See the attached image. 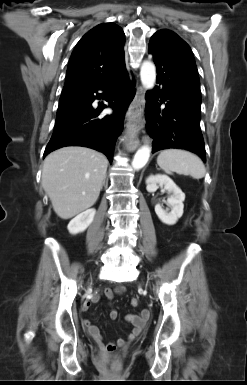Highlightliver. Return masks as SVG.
Returning a JSON list of instances; mask_svg holds the SVG:
<instances>
[{"label": "liver", "mask_w": 247, "mask_h": 385, "mask_svg": "<svg viewBox=\"0 0 247 385\" xmlns=\"http://www.w3.org/2000/svg\"><path fill=\"white\" fill-rule=\"evenodd\" d=\"M108 166L100 152L79 146L63 147L44 160L42 187L55 213L70 219L97 201Z\"/></svg>", "instance_id": "liver-1"}]
</instances>
